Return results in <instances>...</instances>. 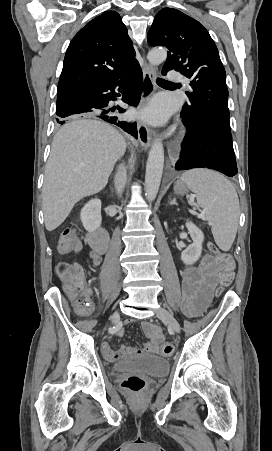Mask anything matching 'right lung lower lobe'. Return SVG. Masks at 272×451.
<instances>
[{
  "label": "right lung lower lobe",
  "mask_w": 272,
  "mask_h": 451,
  "mask_svg": "<svg viewBox=\"0 0 272 451\" xmlns=\"http://www.w3.org/2000/svg\"><path fill=\"white\" fill-rule=\"evenodd\" d=\"M142 78V70L137 63L128 71L118 75L111 83L81 87L58 95L56 104L57 123L62 125L66 121L77 118L102 119L115 124L126 133L137 138L136 123L112 116L104 108L108 106L110 100H116V96H119L118 93H115V89L123 94L122 100L124 102L137 106L140 101ZM117 109L120 113L125 111L123 108ZM111 111L114 110L111 109Z\"/></svg>",
  "instance_id": "right-lung-lower-lobe-1"
}]
</instances>
